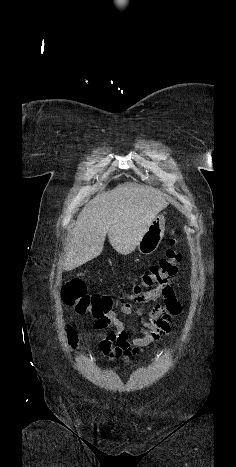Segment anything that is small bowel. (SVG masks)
Instances as JSON below:
<instances>
[{"instance_id": "obj_1", "label": "small bowel", "mask_w": 236, "mask_h": 467, "mask_svg": "<svg viewBox=\"0 0 236 467\" xmlns=\"http://www.w3.org/2000/svg\"><path fill=\"white\" fill-rule=\"evenodd\" d=\"M178 284H167L159 290L146 293L140 297L134 298V301L141 302L143 306L135 312L130 302L121 306V311L127 316L136 314L142 323V327L137 329L140 337L129 340L123 321L113 312L96 317L94 328L104 330L113 326V330L107 332L101 342L102 353L110 359H120L126 362L128 357L137 354L142 348L168 336L172 331L173 317L179 315L182 307L178 301L176 289ZM162 296L164 303H156V300ZM146 305H152V309L147 317L144 316ZM116 346L111 349V344Z\"/></svg>"}]
</instances>
